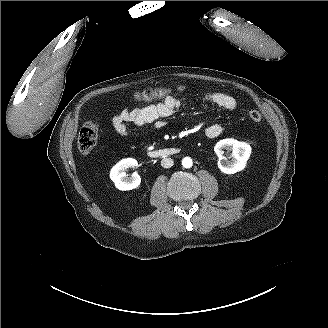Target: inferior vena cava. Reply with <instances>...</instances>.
I'll list each match as a JSON object with an SVG mask.
<instances>
[{"mask_svg": "<svg viewBox=\"0 0 328 328\" xmlns=\"http://www.w3.org/2000/svg\"><path fill=\"white\" fill-rule=\"evenodd\" d=\"M173 160L171 158H164L161 160V166L163 168H171L173 166Z\"/></svg>", "mask_w": 328, "mask_h": 328, "instance_id": "602c4592", "label": "inferior vena cava"}]
</instances>
